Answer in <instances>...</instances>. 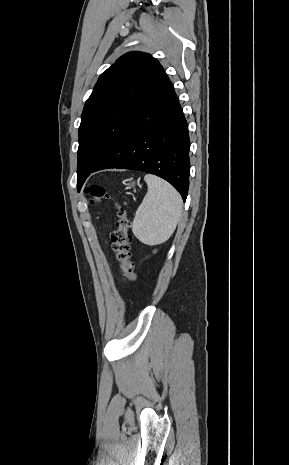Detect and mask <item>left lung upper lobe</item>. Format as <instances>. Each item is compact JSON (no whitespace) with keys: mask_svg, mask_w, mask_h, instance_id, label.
<instances>
[{"mask_svg":"<svg viewBox=\"0 0 289 465\" xmlns=\"http://www.w3.org/2000/svg\"><path fill=\"white\" fill-rule=\"evenodd\" d=\"M168 80L160 63L143 52L124 54L101 74L81 117L78 189Z\"/></svg>","mask_w":289,"mask_h":465,"instance_id":"5c2ea615","label":"left lung upper lobe"}]
</instances>
